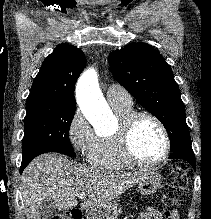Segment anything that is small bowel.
<instances>
[{"label": "small bowel", "instance_id": "obj_1", "mask_svg": "<svg viewBox=\"0 0 211 219\" xmlns=\"http://www.w3.org/2000/svg\"><path fill=\"white\" fill-rule=\"evenodd\" d=\"M137 219H179L178 212L175 210L167 211L165 213L160 210L149 207L138 215Z\"/></svg>", "mask_w": 211, "mask_h": 219}]
</instances>
